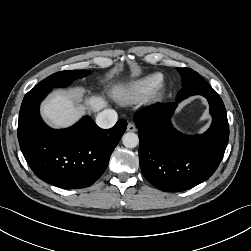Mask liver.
Masks as SVG:
<instances>
[{
    "instance_id": "1",
    "label": "liver",
    "mask_w": 251,
    "mask_h": 251,
    "mask_svg": "<svg viewBox=\"0 0 251 251\" xmlns=\"http://www.w3.org/2000/svg\"><path fill=\"white\" fill-rule=\"evenodd\" d=\"M109 96L113 99L120 97V89L114 87ZM107 106V101L101 96L83 98L80 90L69 94L54 92L41 106L42 116L54 127L65 128L75 123L89 109L99 111Z\"/></svg>"
}]
</instances>
